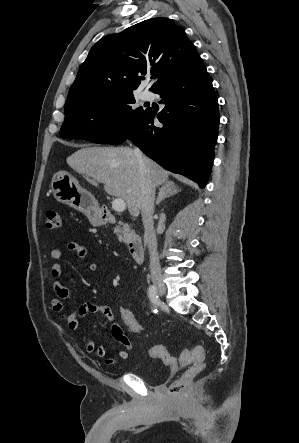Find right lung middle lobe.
I'll use <instances>...</instances> for the list:
<instances>
[{
    "mask_svg": "<svg viewBox=\"0 0 299 443\" xmlns=\"http://www.w3.org/2000/svg\"><path fill=\"white\" fill-rule=\"evenodd\" d=\"M134 103L133 93H128L66 106L60 135L66 139L107 144L145 112L141 107L135 109Z\"/></svg>",
    "mask_w": 299,
    "mask_h": 443,
    "instance_id": "obj_1",
    "label": "right lung middle lobe"
}]
</instances>
